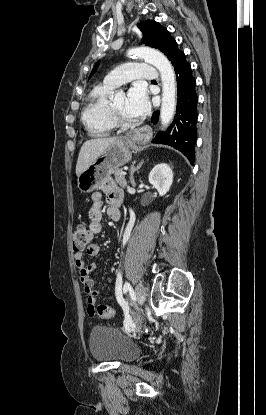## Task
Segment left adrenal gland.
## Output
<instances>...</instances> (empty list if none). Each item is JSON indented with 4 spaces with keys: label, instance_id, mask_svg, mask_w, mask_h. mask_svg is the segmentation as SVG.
<instances>
[{
    "label": "left adrenal gland",
    "instance_id": "a2214340",
    "mask_svg": "<svg viewBox=\"0 0 266 415\" xmlns=\"http://www.w3.org/2000/svg\"><path fill=\"white\" fill-rule=\"evenodd\" d=\"M143 164V161H141L136 167H135V163L133 162L131 167H130V183L131 185L134 187L135 186V181H134V173L136 171H138L141 167V165Z\"/></svg>",
    "mask_w": 266,
    "mask_h": 415
}]
</instances>
